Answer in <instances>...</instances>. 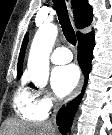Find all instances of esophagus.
<instances>
[{
  "label": "esophagus",
  "instance_id": "34e87169",
  "mask_svg": "<svg viewBox=\"0 0 112 135\" xmlns=\"http://www.w3.org/2000/svg\"><path fill=\"white\" fill-rule=\"evenodd\" d=\"M68 6H69V10H70V14L73 17V13L70 7V1H66ZM83 82H84V77L82 76L80 79L79 84L77 85L76 89L74 90V92L70 95V97L64 102V105H66L69 101H71L72 99H74L76 96L79 95V93L81 92L82 86H83Z\"/></svg>",
  "mask_w": 112,
  "mask_h": 135
}]
</instances>
